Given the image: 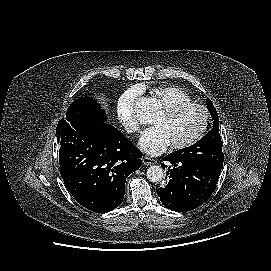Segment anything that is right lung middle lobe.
Segmentation results:
<instances>
[{
	"label": "right lung middle lobe",
	"instance_id": "dd1d6c3e",
	"mask_svg": "<svg viewBox=\"0 0 271 271\" xmlns=\"http://www.w3.org/2000/svg\"><path fill=\"white\" fill-rule=\"evenodd\" d=\"M66 119L85 122L106 120V116L97 101L91 97H81L69 106Z\"/></svg>",
	"mask_w": 271,
	"mask_h": 271
}]
</instances>
